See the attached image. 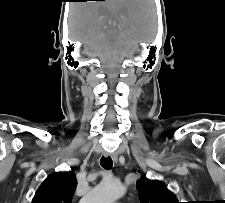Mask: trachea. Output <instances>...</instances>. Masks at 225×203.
Returning a JSON list of instances; mask_svg holds the SVG:
<instances>
[{
  "label": "trachea",
  "mask_w": 225,
  "mask_h": 203,
  "mask_svg": "<svg viewBox=\"0 0 225 203\" xmlns=\"http://www.w3.org/2000/svg\"><path fill=\"white\" fill-rule=\"evenodd\" d=\"M100 164L103 168L110 170L113 166V161L110 156L108 157L102 156L100 159Z\"/></svg>",
  "instance_id": "1"
}]
</instances>
